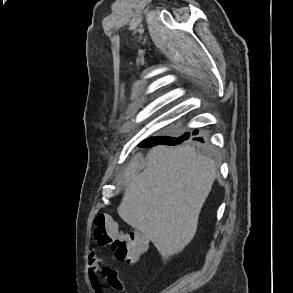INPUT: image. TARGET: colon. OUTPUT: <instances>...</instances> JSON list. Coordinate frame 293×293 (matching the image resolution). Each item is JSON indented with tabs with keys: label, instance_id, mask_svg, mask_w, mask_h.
I'll use <instances>...</instances> for the list:
<instances>
[{
	"label": "colon",
	"instance_id": "5ec220e1",
	"mask_svg": "<svg viewBox=\"0 0 293 293\" xmlns=\"http://www.w3.org/2000/svg\"><path fill=\"white\" fill-rule=\"evenodd\" d=\"M94 238L102 246H108L119 260L135 263L145 252L148 240L135 230L122 232L117 223L106 213L94 217Z\"/></svg>",
	"mask_w": 293,
	"mask_h": 293
}]
</instances>
